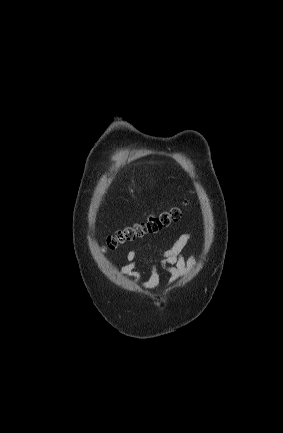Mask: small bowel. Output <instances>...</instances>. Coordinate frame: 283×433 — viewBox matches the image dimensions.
Returning <instances> with one entry per match:
<instances>
[{
  "label": "small bowel",
  "instance_id": "small-bowel-1",
  "mask_svg": "<svg viewBox=\"0 0 283 433\" xmlns=\"http://www.w3.org/2000/svg\"><path fill=\"white\" fill-rule=\"evenodd\" d=\"M191 240L192 235L190 233H183L170 248L156 251L159 262L152 256L141 254L140 249H132L126 254L127 263L122 266L121 273L124 276L132 277L136 283L145 289H151L157 285L161 271L169 275V284H173L186 275L196 263L195 253L191 254L188 259L182 254L183 249ZM141 261H145L150 266V276L148 280L143 282L137 270V265Z\"/></svg>",
  "mask_w": 283,
  "mask_h": 433
}]
</instances>
